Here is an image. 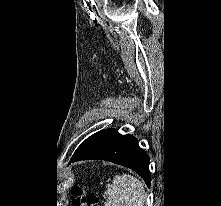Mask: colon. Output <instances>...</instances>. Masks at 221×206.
<instances>
[{
    "label": "colon",
    "instance_id": "obj_1",
    "mask_svg": "<svg viewBox=\"0 0 221 206\" xmlns=\"http://www.w3.org/2000/svg\"><path fill=\"white\" fill-rule=\"evenodd\" d=\"M74 206H97L98 198L95 194L85 192L80 188L74 189Z\"/></svg>",
    "mask_w": 221,
    "mask_h": 206
}]
</instances>
